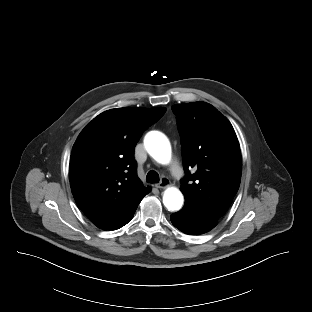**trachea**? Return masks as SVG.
<instances>
[{"instance_id":"3493384b","label":"trachea","mask_w":312,"mask_h":312,"mask_svg":"<svg viewBox=\"0 0 312 312\" xmlns=\"http://www.w3.org/2000/svg\"><path fill=\"white\" fill-rule=\"evenodd\" d=\"M160 180L159 175L156 171L151 170L148 172L147 176H146V181L148 183H158Z\"/></svg>"}]
</instances>
